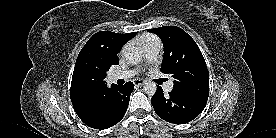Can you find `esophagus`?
Returning a JSON list of instances; mask_svg holds the SVG:
<instances>
[{
    "instance_id": "34e87169",
    "label": "esophagus",
    "mask_w": 276,
    "mask_h": 138,
    "mask_svg": "<svg viewBox=\"0 0 276 138\" xmlns=\"http://www.w3.org/2000/svg\"><path fill=\"white\" fill-rule=\"evenodd\" d=\"M145 80H143V79H135L134 80V84L135 85H138V86H141V85H143V84H145Z\"/></svg>"
}]
</instances>
